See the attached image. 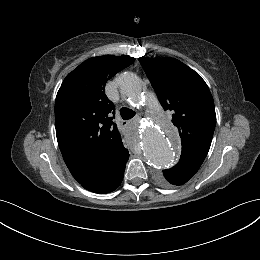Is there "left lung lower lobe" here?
I'll use <instances>...</instances> for the list:
<instances>
[{
  "label": "left lung lower lobe",
  "instance_id": "obj_1",
  "mask_svg": "<svg viewBox=\"0 0 260 260\" xmlns=\"http://www.w3.org/2000/svg\"><path fill=\"white\" fill-rule=\"evenodd\" d=\"M197 171L188 167H173L163 170V180L172 185H182L191 179Z\"/></svg>",
  "mask_w": 260,
  "mask_h": 260
}]
</instances>
